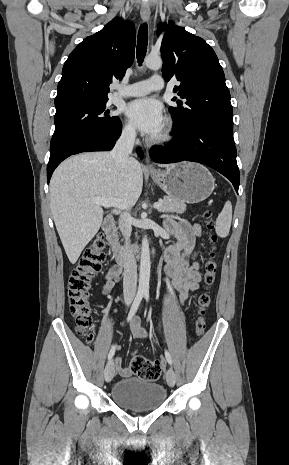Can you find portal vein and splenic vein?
Instances as JSON below:
<instances>
[{
    "label": "portal vein and splenic vein",
    "instance_id": "portal-vein-and-splenic-vein-1",
    "mask_svg": "<svg viewBox=\"0 0 289 465\" xmlns=\"http://www.w3.org/2000/svg\"><path fill=\"white\" fill-rule=\"evenodd\" d=\"M93 201L96 204H99L105 208H108V207H117L121 209L129 208L126 203H123L120 200L115 199V198L94 197ZM153 206L154 208L159 209L161 207V201L154 203Z\"/></svg>",
    "mask_w": 289,
    "mask_h": 465
}]
</instances>
